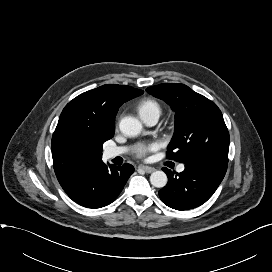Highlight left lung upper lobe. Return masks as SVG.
I'll list each match as a JSON object with an SVG mask.
<instances>
[{"mask_svg": "<svg viewBox=\"0 0 272 272\" xmlns=\"http://www.w3.org/2000/svg\"><path fill=\"white\" fill-rule=\"evenodd\" d=\"M146 91L175 112L167 158L184 164L208 158L228 160L229 133L215 103L184 84L164 83Z\"/></svg>", "mask_w": 272, "mask_h": 272, "instance_id": "5c2ea615", "label": "left lung upper lobe"}]
</instances>
